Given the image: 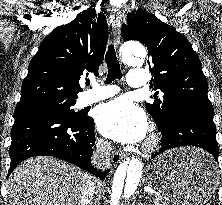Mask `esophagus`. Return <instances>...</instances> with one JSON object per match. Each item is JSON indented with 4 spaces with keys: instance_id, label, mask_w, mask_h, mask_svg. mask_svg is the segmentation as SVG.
<instances>
[{
    "instance_id": "1",
    "label": "esophagus",
    "mask_w": 222,
    "mask_h": 205,
    "mask_svg": "<svg viewBox=\"0 0 222 205\" xmlns=\"http://www.w3.org/2000/svg\"><path fill=\"white\" fill-rule=\"evenodd\" d=\"M123 15L120 10L114 9L111 13V22L113 26V34H114V43L115 46L118 48L120 45V27L122 22ZM124 157V155L119 152H113L112 154V161L114 164L120 162V160Z\"/></svg>"
}]
</instances>
